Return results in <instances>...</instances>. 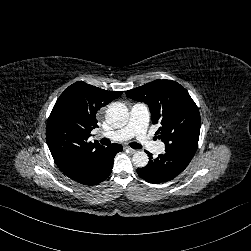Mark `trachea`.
<instances>
[{"label": "trachea", "mask_w": 251, "mask_h": 251, "mask_svg": "<svg viewBox=\"0 0 251 251\" xmlns=\"http://www.w3.org/2000/svg\"><path fill=\"white\" fill-rule=\"evenodd\" d=\"M100 143L103 145H110L111 141L109 139L103 138L100 140ZM130 146H131V148H134V149H141L142 148V145L138 144L136 142L130 143Z\"/></svg>", "instance_id": "trachea-1"}]
</instances>
